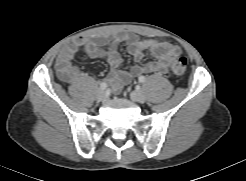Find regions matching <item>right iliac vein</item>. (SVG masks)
Returning <instances> with one entry per match:
<instances>
[{"label": "right iliac vein", "instance_id": "63e3f726", "mask_svg": "<svg viewBox=\"0 0 246 181\" xmlns=\"http://www.w3.org/2000/svg\"><path fill=\"white\" fill-rule=\"evenodd\" d=\"M96 99L98 101H104L106 99V92L103 89H99L96 93Z\"/></svg>", "mask_w": 246, "mask_h": 181}]
</instances>
